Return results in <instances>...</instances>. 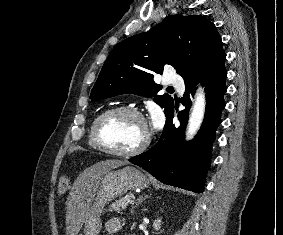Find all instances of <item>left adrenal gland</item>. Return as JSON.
Listing matches in <instances>:
<instances>
[{
    "mask_svg": "<svg viewBox=\"0 0 283 235\" xmlns=\"http://www.w3.org/2000/svg\"><path fill=\"white\" fill-rule=\"evenodd\" d=\"M150 196L147 194H142L138 197L136 204L132 207L131 213L134 214V209L139 206L145 199L149 198Z\"/></svg>",
    "mask_w": 283,
    "mask_h": 235,
    "instance_id": "obj_1",
    "label": "left adrenal gland"
}]
</instances>
